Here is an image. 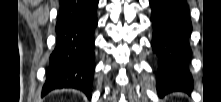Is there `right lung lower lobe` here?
I'll return each mask as SVG.
<instances>
[{"label": "right lung lower lobe", "mask_w": 221, "mask_h": 102, "mask_svg": "<svg viewBox=\"0 0 221 102\" xmlns=\"http://www.w3.org/2000/svg\"><path fill=\"white\" fill-rule=\"evenodd\" d=\"M98 0H62L56 22V46L50 55L42 95L75 88L91 98L94 32Z\"/></svg>", "instance_id": "right-lung-lower-lobe-1"}]
</instances>
